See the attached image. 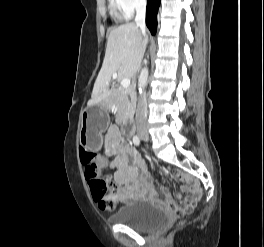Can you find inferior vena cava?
Returning <instances> with one entry per match:
<instances>
[{"label": "inferior vena cava", "mask_w": 264, "mask_h": 247, "mask_svg": "<svg viewBox=\"0 0 264 247\" xmlns=\"http://www.w3.org/2000/svg\"><path fill=\"white\" fill-rule=\"evenodd\" d=\"M145 13H146V0H137L135 23L144 34L146 33ZM146 118H147V101H146V93H143L139 96L137 109H136L135 120L137 126L139 127L144 125L146 122Z\"/></svg>", "instance_id": "obj_1"}]
</instances>
